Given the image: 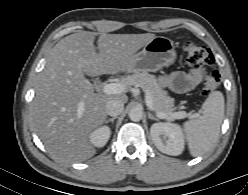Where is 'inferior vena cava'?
Instances as JSON below:
<instances>
[{
	"mask_svg": "<svg viewBox=\"0 0 248 195\" xmlns=\"http://www.w3.org/2000/svg\"><path fill=\"white\" fill-rule=\"evenodd\" d=\"M124 104L120 100H110L106 104V113L110 116L116 117L123 111Z\"/></svg>",
	"mask_w": 248,
	"mask_h": 195,
	"instance_id": "obj_1",
	"label": "inferior vena cava"
}]
</instances>
